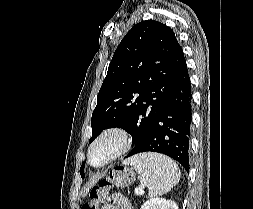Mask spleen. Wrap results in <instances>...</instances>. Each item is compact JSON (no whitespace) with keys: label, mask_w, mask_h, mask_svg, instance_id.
<instances>
[{"label":"spleen","mask_w":253,"mask_h":209,"mask_svg":"<svg viewBox=\"0 0 253 209\" xmlns=\"http://www.w3.org/2000/svg\"><path fill=\"white\" fill-rule=\"evenodd\" d=\"M142 176L143 185L149 196L155 197L169 192L180 180L177 164L167 156L158 153H142L124 161Z\"/></svg>","instance_id":"1"}]
</instances>
